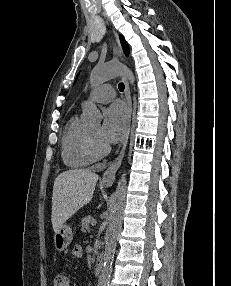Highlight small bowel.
Segmentation results:
<instances>
[{
  "label": "small bowel",
  "mask_w": 231,
  "mask_h": 286,
  "mask_svg": "<svg viewBox=\"0 0 231 286\" xmlns=\"http://www.w3.org/2000/svg\"><path fill=\"white\" fill-rule=\"evenodd\" d=\"M72 255L76 258H80L83 255V249L81 246L77 245L72 249Z\"/></svg>",
  "instance_id": "c3829d8e"
}]
</instances>
